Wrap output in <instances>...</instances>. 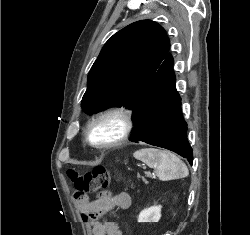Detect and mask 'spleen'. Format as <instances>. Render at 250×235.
<instances>
[{"instance_id": "1", "label": "spleen", "mask_w": 250, "mask_h": 235, "mask_svg": "<svg viewBox=\"0 0 250 235\" xmlns=\"http://www.w3.org/2000/svg\"><path fill=\"white\" fill-rule=\"evenodd\" d=\"M134 157L153 168L160 180L184 178L189 171L186 164L175 154L156 148H145L134 153Z\"/></svg>"}]
</instances>
